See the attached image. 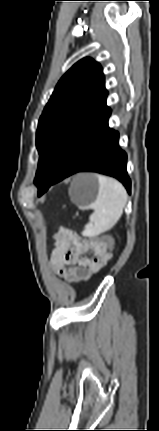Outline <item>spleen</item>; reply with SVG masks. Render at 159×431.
Returning a JSON list of instances; mask_svg holds the SVG:
<instances>
[{
	"label": "spleen",
	"mask_w": 159,
	"mask_h": 431,
	"mask_svg": "<svg viewBox=\"0 0 159 431\" xmlns=\"http://www.w3.org/2000/svg\"><path fill=\"white\" fill-rule=\"evenodd\" d=\"M99 193L96 201L90 206L94 212L85 226L86 236H96L110 230L120 219L127 202V192L117 180L97 175Z\"/></svg>",
	"instance_id": "obj_1"
}]
</instances>
